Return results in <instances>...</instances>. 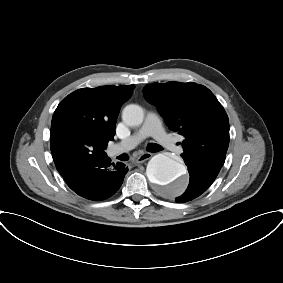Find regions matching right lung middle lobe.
I'll list each match as a JSON object with an SVG mask.
<instances>
[{"instance_id": "dd1d6c3e", "label": "right lung middle lobe", "mask_w": 283, "mask_h": 283, "mask_svg": "<svg viewBox=\"0 0 283 283\" xmlns=\"http://www.w3.org/2000/svg\"><path fill=\"white\" fill-rule=\"evenodd\" d=\"M94 147L91 143H81L78 147V159L80 161H88L93 158Z\"/></svg>"}]
</instances>
